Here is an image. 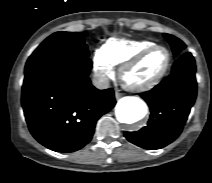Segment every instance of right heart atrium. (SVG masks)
Returning a JSON list of instances; mask_svg holds the SVG:
<instances>
[{"label": "right heart atrium", "instance_id": "right-heart-atrium-1", "mask_svg": "<svg viewBox=\"0 0 212 183\" xmlns=\"http://www.w3.org/2000/svg\"><path fill=\"white\" fill-rule=\"evenodd\" d=\"M93 68L98 79L104 83L114 74L113 66L109 62L102 48L95 51L93 56Z\"/></svg>", "mask_w": 212, "mask_h": 183}]
</instances>
